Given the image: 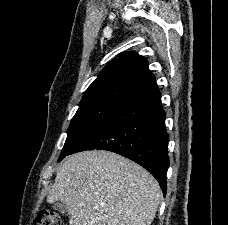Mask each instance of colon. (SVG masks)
Here are the masks:
<instances>
[{
    "label": "colon",
    "instance_id": "5ec220e1",
    "mask_svg": "<svg viewBox=\"0 0 228 225\" xmlns=\"http://www.w3.org/2000/svg\"><path fill=\"white\" fill-rule=\"evenodd\" d=\"M35 220L37 225H63L59 214L48 208H42Z\"/></svg>",
    "mask_w": 228,
    "mask_h": 225
}]
</instances>
